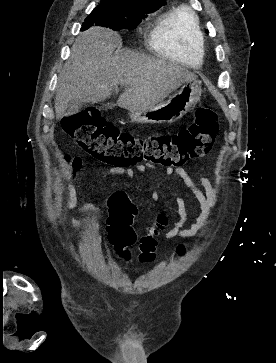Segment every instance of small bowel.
<instances>
[{
    "label": "small bowel",
    "mask_w": 276,
    "mask_h": 363,
    "mask_svg": "<svg viewBox=\"0 0 276 363\" xmlns=\"http://www.w3.org/2000/svg\"><path fill=\"white\" fill-rule=\"evenodd\" d=\"M85 159L76 156H66L64 159V165L69 169L70 182L64 187V192L68 195V198L64 200V205L67 208H74L77 203V193L73 181L76 177L85 170ZM152 167L151 164H137L135 168L140 172H145L147 168ZM167 175L177 174L183 181L184 185L191 191L194 197L197 199L200 206V213L196 221L189 227H185L187 222V214L185 211L184 201L181 197L176 196L175 202L177 205V211L179 220L172 228L167 229L164 232V238L166 240H172L175 238L189 237L198 233L200 230L205 228L212 217V209L218 202V190L216 187L204 176L199 175V180L204 188V191L199 189L193 182L189 174L182 167H167L165 170ZM107 175H122L125 177H133L134 170L131 167H109L101 171L100 177L104 178ZM108 205L110 209H117L124 211L131 217V220L138 215V208L134 205L128 194L124 191H116L112 193L108 199ZM80 212H86L92 216L103 219L100 208L95 205L91 199L85 202L79 208ZM72 225L75 228L89 231L95 235L100 233L99 228L89 219H72ZM165 225V219L160 220V224L149 228L148 234H152L155 238L159 235L160 231L163 230Z\"/></svg>",
    "instance_id": "obj_1"
}]
</instances>
